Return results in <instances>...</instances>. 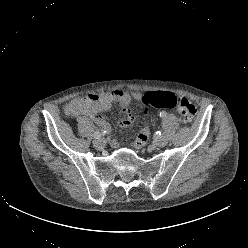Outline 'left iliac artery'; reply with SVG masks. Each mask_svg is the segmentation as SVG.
<instances>
[{"mask_svg": "<svg viewBox=\"0 0 248 248\" xmlns=\"http://www.w3.org/2000/svg\"><path fill=\"white\" fill-rule=\"evenodd\" d=\"M160 117L161 118L166 117V112H164V111L160 112ZM158 133L161 135V132L160 131Z\"/></svg>", "mask_w": 248, "mask_h": 248, "instance_id": "obj_1", "label": "left iliac artery"}]
</instances>
